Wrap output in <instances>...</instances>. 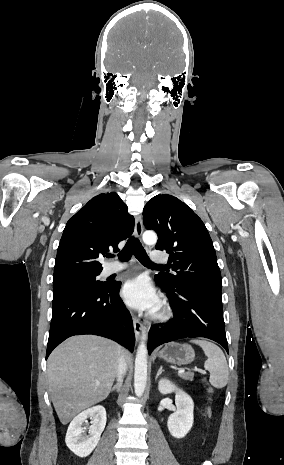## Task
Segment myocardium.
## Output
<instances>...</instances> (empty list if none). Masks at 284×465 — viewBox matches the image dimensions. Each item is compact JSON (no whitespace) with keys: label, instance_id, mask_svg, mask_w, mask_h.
<instances>
[{"label":"myocardium","instance_id":"obj_1","mask_svg":"<svg viewBox=\"0 0 284 465\" xmlns=\"http://www.w3.org/2000/svg\"><path fill=\"white\" fill-rule=\"evenodd\" d=\"M171 317H172V311L166 303H163L160 309L154 314V319L160 322L167 321Z\"/></svg>","mask_w":284,"mask_h":465}]
</instances>
